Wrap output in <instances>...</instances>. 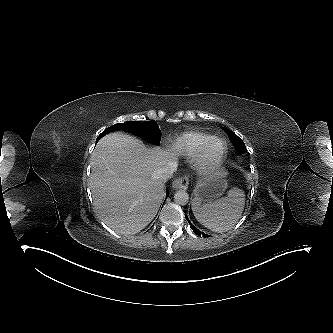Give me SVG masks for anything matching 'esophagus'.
Segmentation results:
<instances>
[{
	"mask_svg": "<svg viewBox=\"0 0 333 333\" xmlns=\"http://www.w3.org/2000/svg\"><path fill=\"white\" fill-rule=\"evenodd\" d=\"M189 185V178L187 176H182L173 181L172 187L174 189H183L186 190Z\"/></svg>",
	"mask_w": 333,
	"mask_h": 333,
	"instance_id": "34e87169",
	"label": "esophagus"
}]
</instances>
